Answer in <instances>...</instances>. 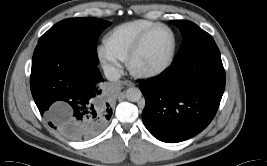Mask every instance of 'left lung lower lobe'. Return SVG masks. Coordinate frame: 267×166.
I'll list each match as a JSON object with an SVG mask.
<instances>
[{
    "instance_id": "0a47b994",
    "label": "left lung lower lobe",
    "mask_w": 267,
    "mask_h": 166,
    "mask_svg": "<svg viewBox=\"0 0 267 166\" xmlns=\"http://www.w3.org/2000/svg\"><path fill=\"white\" fill-rule=\"evenodd\" d=\"M139 87L146 100L142 119L155 138L176 143L197 135L215 116L225 88L217 45H205L174 61L160 77Z\"/></svg>"
}]
</instances>
